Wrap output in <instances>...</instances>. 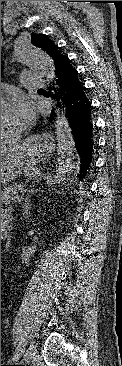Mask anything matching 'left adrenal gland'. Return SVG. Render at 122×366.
<instances>
[{
  "instance_id": "obj_1",
  "label": "left adrenal gland",
  "mask_w": 122,
  "mask_h": 366,
  "mask_svg": "<svg viewBox=\"0 0 122 366\" xmlns=\"http://www.w3.org/2000/svg\"><path fill=\"white\" fill-rule=\"evenodd\" d=\"M29 192H33V190H29ZM30 200H29V195L26 197V199H25V203H24V205H23V208H24V210H25V213H27V211H28V209L30 208L29 206H30Z\"/></svg>"
}]
</instances>
